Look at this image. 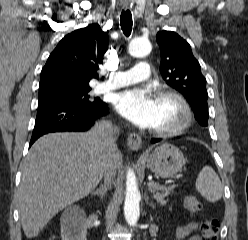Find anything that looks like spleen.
<instances>
[{
    "label": "spleen",
    "instance_id": "3e777b00",
    "mask_svg": "<svg viewBox=\"0 0 248 240\" xmlns=\"http://www.w3.org/2000/svg\"><path fill=\"white\" fill-rule=\"evenodd\" d=\"M195 186L197 191L210 202L218 201L222 197L221 181L210 166L203 167L196 179Z\"/></svg>",
    "mask_w": 248,
    "mask_h": 240
}]
</instances>
